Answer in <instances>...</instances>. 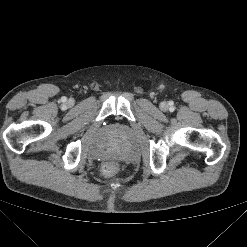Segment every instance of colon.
<instances>
[{"label":"colon","instance_id":"5ec220e1","mask_svg":"<svg viewBox=\"0 0 247 247\" xmlns=\"http://www.w3.org/2000/svg\"><path fill=\"white\" fill-rule=\"evenodd\" d=\"M118 170V165L114 162H107L102 166V172L105 176H113Z\"/></svg>","mask_w":247,"mask_h":247}]
</instances>
